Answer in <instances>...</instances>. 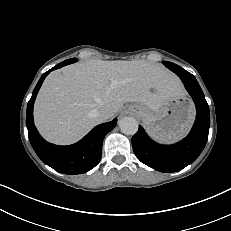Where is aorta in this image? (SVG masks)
I'll list each match as a JSON object with an SVG mask.
<instances>
[{"mask_svg": "<svg viewBox=\"0 0 231 231\" xmlns=\"http://www.w3.org/2000/svg\"><path fill=\"white\" fill-rule=\"evenodd\" d=\"M119 127L124 134L134 135L138 131V123L133 117H123L119 120Z\"/></svg>", "mask_w": 231, "mask_h": 231, "instance_id": "aorta-1", "label": "aorta"}]
</instances>
